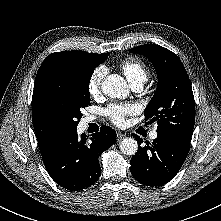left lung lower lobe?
Masks as SVG:
<instances>
[{
	"mask_svg": "<svg viewBox=\"0 0 221 221\" xmlns=\"http://www.w3.org/2000/svg\"><path fill=\"white\" fill-rule=\"evenodd\" d=\"M139 143L137 153L131 158V173L143 185L162 186L179 172L190 148V142L176 136L158 133L150 144L132 134Z\"/></svg>",
	"mask_w": 221,
	"mask_h": 221,
	"instance_id": "1",
	"label": "left lung lower lobe"
}]
</instances>
